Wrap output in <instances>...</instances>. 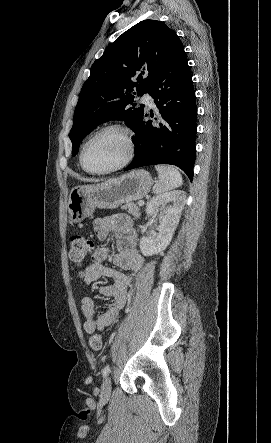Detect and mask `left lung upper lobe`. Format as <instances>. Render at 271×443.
<instances>
[{"label": "left lung upper lobe", "mask_w": 271, "mask_h": 443, "mask_svg": "<svg viewBox=\"0 0 271 443\" xmlns=\"http://www.w3.org/2000/svg\"><path fill=\"white\" fill-rule=\"evenodd\" d=\"M178 45L181 42L174 30L161 21L144 20L106 48L92 65L80 92L69 134L72 155L101 123L121 120L133 131L136 129L144 105L135 108L134 97L148 92L153 76Z\"/></svg>", "instance_id": "1"}]
</instances>
